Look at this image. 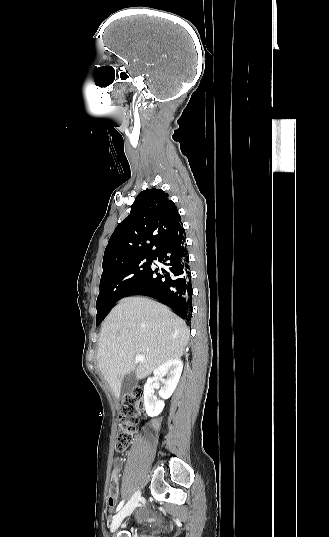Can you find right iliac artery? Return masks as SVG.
<instances>
[{
    "label": "right iliac artery",
    "instance_id": "obj_1",
    "mask_svg": "<svg viewBox=\"0 0 329 537\" xmlns=\"http://www.w3.org/2000/svg\"><path fill=\"white\" fill-rule=\"evenodd\" d=\"M124 502H125V500L123 499V500L118 504V506H117V508H116V512H118V511L122 508Z\"/></svg>",
    "mask_w": 329,
    "mask_h": 537
}]
</instances>
